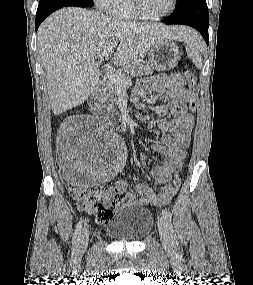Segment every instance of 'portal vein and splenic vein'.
Masks as SVG:
<instances>
[{
	"mask_svg": "<svg viewBox=\"0 0 253 285\" xmlns=\"http://www.w3.org/2000/svg\"><path fill=\"white\" fill-rule=\"evenodd\" d=\"M117 46V43H113L112 45H110L106 52L102 53L103 57H108L109 54L112 52V50ZM105 70L108 74V78L115 83L118 86H124V85H128L131 83V78L127 77V78H123L119 75H117L116 73L113 72V70L111 69L109 64L105 65Z\"/></svg>",
	"mask_w": 253,
	"mask_h": 285,
	"instance_id": "1",
	"label": "portal vein and splenic vein"
}]
</instances>
